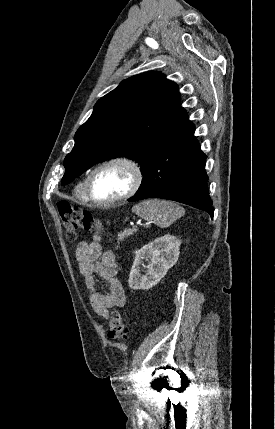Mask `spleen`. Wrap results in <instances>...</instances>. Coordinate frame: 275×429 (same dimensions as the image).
I'll return each mask as SVG.
<instances>
[{
  "instance_id": "3e777b00",
  "label": "spleen",
  "mask_w": 275,
  "mask_h": 429,
  "mask_svg": "<svg viewBox=\"0 0 275 429\" xmlns=\"http://www.w3.org/2000/svg\"><path fill=\"white\" fill-rule=\"evenodd\" d=\"M132 212L147 221H155L161 228L170 226L185 214L184 208L178 204L160 199L142 201L132 208Z\"/></svg>"
}]
</instances>
